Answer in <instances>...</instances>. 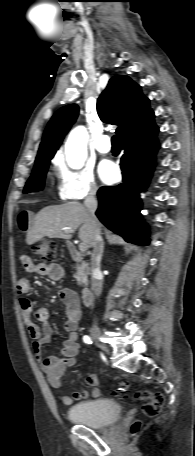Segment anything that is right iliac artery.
I'll return each mask as SVG.
<instances>
[{
    "mask_svg": "<svg viewBox=\"0 0 195 456\" xmlns=\"http://www.w3.org/2000/svg\"><path fill=\"white\" fill-rule=\"evenodd\" d=\"M83 341L86 343V344H92V340L91 338L88 336V335H85L83 337Z\"/></svg>",
    "mask_w": 195,
    "mask_h": 456,
    "instance_id": "obj_1",
    "label": "right iliac artery"
}]
</instances>
